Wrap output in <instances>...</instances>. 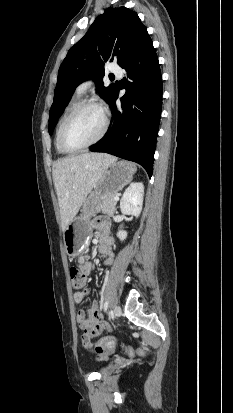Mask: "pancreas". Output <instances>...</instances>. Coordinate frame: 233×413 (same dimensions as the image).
I'll list each match as a JSON object with an SVG mask.
<instances>
[{
  "label": "pancreas",
  "instance_id": "1",
  "mask_svg": "<svg viewBox=\"0 0 233 413\" xmlns=\"http://www.w3.org/2000/svg\"><path fill=\"white\" fill-rule=\"evenodd\" d=\"M114 197L115 194H110L101 198L96 206V211L108 214L109 216H113L116 206Z\"/></svg>",
  "mask_w": 233,
  "mask_h": 413
}]
</instances>
